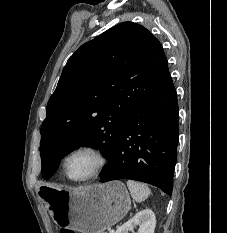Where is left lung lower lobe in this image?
Segmentation results:
<instances>
[{"mask_svg": "<svg viewBox=\"0 0 227 233\" xmlns=\"http://www.w3.org/2000/svg\"><path fill=\"white\" fill-rule=\"evenodd\" d=\"M178 137L177 94L169 76L150 99L131 113L101 182L137 180L171 195Z\"/></svg>", "mask_w": 227, "mask_h": 233, "instance_id": "obj_1", "label": "left lung lower lobe"}]
</instances>
